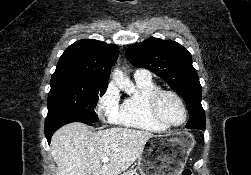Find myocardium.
Wrapping results in <instances>:
<instances>
[{"label":"myocardium","instance_id":"1","mask_svg":"<svg viewBox=\"0 0 251 175\" xmlns=\"http://www.w3.org/2000/svg\"><path fill=\"white\" fill-rule=\"evenodd\" d=\"M163 94H172L182 104V106L184 108V112H185V118H184V121L180 125H177V126L170 125L166 121H164L162 119V117L160 116V114L158 112V109H157V104H158L159 98ZM146 107H147V110H148V113L150 114V116L159 125H161L162 127H164L167 130H178V129L184 128L187 125L188 121H189V108H188L185 100L183 99L182 95L179 92H177V91H175L173 89L159 88V89L155 90L147 98V100H146Z\"/></svg>","mask_w":251,"mask_h":175}]
</instances>
